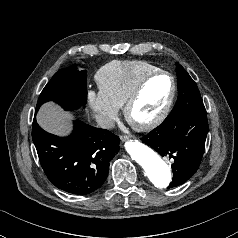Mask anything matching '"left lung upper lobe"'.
<instances>
[{
  "instance_id": "left-lung-upper-lobe-1",
  "label": "left lung upper lobe",
  "mask_w": 238,
  "mask_h": 238,
  "mask_svg": "<svg viewBox=\"0 0 238 238\" xmlns=\"http://www.w3.org/2000/svg\"><path fill=\"white\" fill-rule=\"evenodd\" d=\"M178 99L170 115L206 112L197 85L185 69L176 63Z\"/></svg>"
}]
</instances>
